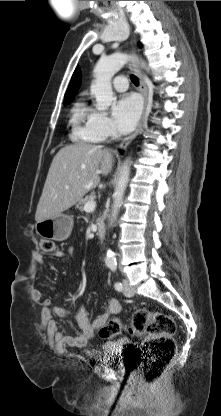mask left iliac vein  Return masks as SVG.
Here are the masks:
<instances>
[{"instance_id":"obj_1","label":"left iliac vein","mask_w":221,"mask_h":416,"mask_svg":"<svg viewBox=\"0 0 221 416\" xmlns=\"http://www.w3.org/2000/svg\"><path fill=\"white\" fill-rule=\"evenodd\" d=\"M123 293L127 297H132L134 295L133 289L130 287L129 281L127 279L123 280Z\"/></svg>"}]
</instances>
